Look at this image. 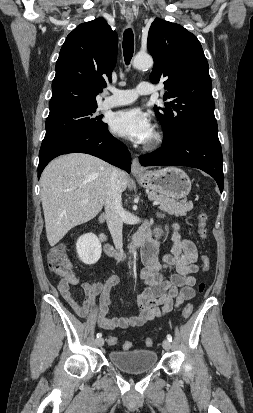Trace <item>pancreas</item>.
<instances>
[{
  "label": "pancreas",
  "mask_w": 253,
  "mask_h": 413,
  "mask_svg": "<svg viewBox=\"0 0 253 413\" xmlns=\"http://www.w3.org/2000/svg\"><path fill=\"white\" fill-rule=\"evenodd\" d=\"M150 199L159 202V209L176 216H186L187 212L193 209L192 202L176 201L164 195H158L156 192L151 191L148 194Z\"/></svg>",
  "instance_id": "obj_1"
}]
</instances>
